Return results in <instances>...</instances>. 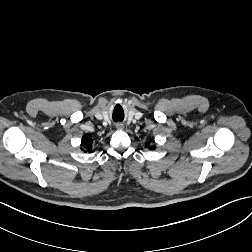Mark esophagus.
<instances>
[{"label": "esophagus", "instance_id": "34e87169", "mask_svg": "<svg viewBox=\"0 0 252 252\" xmlns=\"http://www.w3.org/2000/svg\"><path fill=\"white\" fill-rule=\"evenodd\" d=\"M117 128H118V129H122L123 126H122V125H118Z\"/></svg>", "mask_w": 252, "mask_h": 252}]
</instances>
